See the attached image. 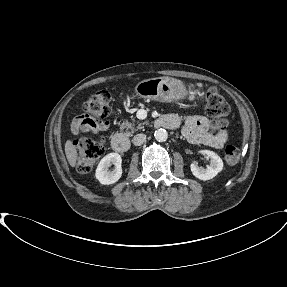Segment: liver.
I'll use <instances>...</instances> for the list:
<instances>
[{
	"mask_svg": "<svg viewBox=\"0 0 287 287\" xmlns=\"http://www.w3.org/2000/svg\"><path fill=\"white\" fill-rule=\"evenodd\" d=\"M65 154L70 166L75 167L77 161V148L73 145L71 140H68L65 144Z\"/></svg>",
	"mask_w": 287,
	"mask_h": 287,
	"instance_id": "1",
	"label": "liver"
}]
</instances>
